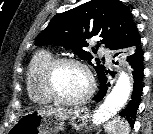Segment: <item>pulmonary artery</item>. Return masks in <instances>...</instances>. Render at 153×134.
Returning a JSON list of instances; mask_svg holds the SVG:
<instances>
[{"instance_id":"obj_1","label":"pulmonary artery","mask_w":153,"mask_h":134,"mask_svg":"<svg viewBox=\"0 0 153 134\" xmlns=\"http://www.w3.org/2000/svg\"><path fill=\"white\" fill-rule=\"evenodd\" d=\"M100 52H101L102 54H104V53H105V49H104V48H100Z\"/></svg>"}]
</instances>
